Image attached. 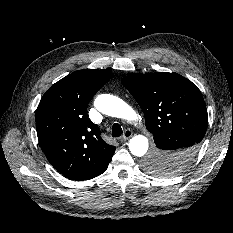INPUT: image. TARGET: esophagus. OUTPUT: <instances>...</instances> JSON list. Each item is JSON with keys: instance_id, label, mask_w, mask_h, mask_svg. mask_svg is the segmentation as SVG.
<instances>
[{"instance_id": "34e87169", "label": "esophagus", "mask_w": 233, "mask_h": 233, "mask_svg": "<svg viewBox=\"0 0 233 233\" xmlns=\"http://www.w3.org/2000/svg\"><path fill=\"white\" fill-rule=\"evenodd\" d=\"M133 135L132 131L130 129H126L124 132V135L120 138L121 141H126L129 138H131Z\"/></svg>"}]
</instances>
